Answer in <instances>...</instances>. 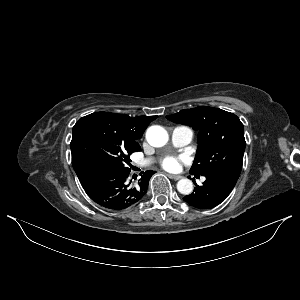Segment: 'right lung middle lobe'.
Segmentation results:
<instances>
[{
    "instance_id": "dd1d6c3e",
    "label": "right lung middle lobe",
    "mask_w": 300,
    "mask_h": 300,
    "mask_svg": "<svg viewBox=\"0 0 300 300\" xmlns=\"http://www.w3.org/2000/svg\"><path fill=\"white\" fill-rule=\"evenodd\" d=\"M70 147L76 174L100 163L129 170V156L134 151H140L115 134L97 113L89 114L76 122Z\"/></svg>"
}]
</instances>
